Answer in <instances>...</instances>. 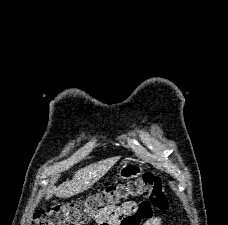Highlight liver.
<instances>
[{"label":"liver","mask_w":228,"mask_h":225,"mask_svg":"<svg viewBox=\"0 0 228 225\" xmlns=\"http://www.w3.org/2000/svg\"><path fill=\"white\" fill-rule=\"evenodd\" d=\"M120 157H111V159H105V161H99V163H93L89 167H84L77 171L73 175L72 181H66L59 187H50L46 193V201L55 195L60 199H67V197H73V195H79L83 191L90 189L94 183H97L99 179L104 177L107 171H110L111 167L119 161Z\"/></svg>","instance_id":"liver-1"}]
</instances>
